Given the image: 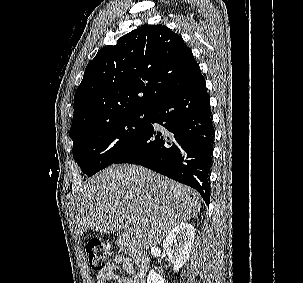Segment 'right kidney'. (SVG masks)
Segmentation results:
<instances>
[{
  "label": "right kidney",
  "instance_id": "ca27d5eb",
  "mask_svg": "<svg viewBox=\"0 0 303 283\" xmlns=\"http://www.w3.org/2000/svg\"><path fill=\"white\" fill-rule=\"evenodd\" d=\"M195 238V229L192 224L181 223L174 227L163 241V250L168 260L174 266L175 272L186 263ZM165 279L154 270L149 272L147 283H165Z\"/></svg>",
  "mask_w": 303,
  "mask_h": 283
}]
</instances>
